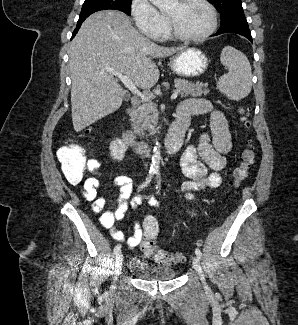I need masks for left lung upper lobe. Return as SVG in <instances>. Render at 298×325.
Here are the masks:
<instances>
[{"mask_svg":"<svg viewBox=\"0 0 298 325\" xmlns=\"http://www.w3.org/2000/svg\"><path fill=\"white\" fill-rule=\"evenodd\" d=\"M221 15V25L235 18L243 17L244 12L241 0H211Z\"/></svg>","mask_w":298,"mask_h":325,"instance_id":"5c2ea615","label":"left lung upper lobe"}]
</instances>
